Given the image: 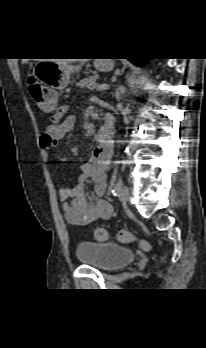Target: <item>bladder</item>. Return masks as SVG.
<instances>
[{
    "label": "bladder",
    "instance_id": "31cf9c89",
    "mask_svg": "<svg viewBox=\"0 0 206 348\" xmlns=\"http://www.w3.org/2000/svg\"><path fill=\"white\" fill-rule=\"evenodd\" d=\"M78 261L102 271L119 269L136 259V252L123 245L110 242H80L76 247Z\"/></svg>",
    "mask_w": 206,
    "mask_h": 348
}]
</instances>
